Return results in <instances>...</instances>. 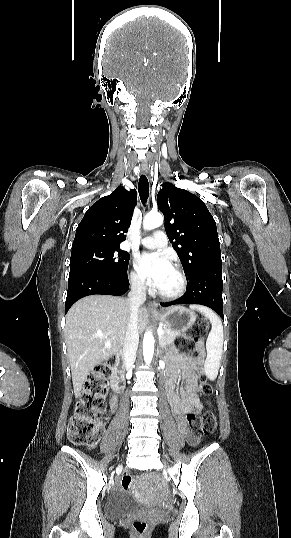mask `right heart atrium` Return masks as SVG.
<instances>
[{
  "mask_svg": "<svg viewBox=\"0 0 291 538\" xmlns=\"http://www.w3.org/2000/svg\"><path fill=\"white\" fill-rule=\"evenodd\" d=\"M129 278H130V282H131V285L134 289L138 290V291H143L145 290L146 288V283L145 281L143 280V278L135 271H131L130 272V275H129Z\"/></svg>",
  "mask_w": 291,
  "mask_h": 538,
  "instance_id": "d8ad5b80",
  "label": "right heart atrium"
}]
</instances>
